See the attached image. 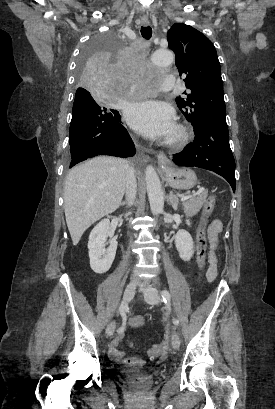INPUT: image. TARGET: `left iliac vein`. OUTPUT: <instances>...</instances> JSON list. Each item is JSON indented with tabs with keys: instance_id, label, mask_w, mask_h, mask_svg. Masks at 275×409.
Listing matches in <instances>:
<instances>
[{
	"instance_id": "obj_1",
	"label": "left iliac vein",
	"mask_w": 275,
	"mask_h": 409,
	"mask_svg": "<svg viewBox=\"0 0 275 409\" xmlns=\"http://www.w3.org/2000/svg\"><path fill=\"white\" fill-rule=\"evenodd\" d=\"M144 298L147 303L154 305L158 304L161 301V296L155 289L152 288H147L146 291H144ZM171 345L174 349H178L180 345V338L177 333L176 327L171 328Z\"/></svg>"
}]
</instances>
